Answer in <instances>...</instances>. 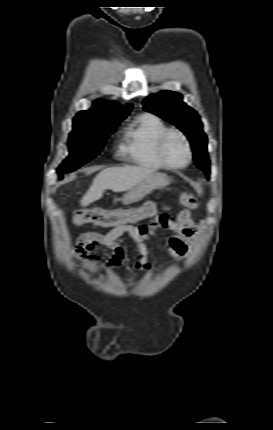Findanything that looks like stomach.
<instances>
[{
	"mask_svg": "<svg viewBox=\"0 0 273 430\" xmlns=\"http://www.w3.org/2000/svg\"><path fill=\"white\" fill-rule=\"evenodd\" d=\"M168 182L166 174L153 172L127 192L123 196V201L127 204L139 201L153 190L166 186Z\"/></svg>",
	"mask_w": 273,
	"mask_h": 430,
	"instance_id": "obj_1",
	"label": "stomach"
}]
</instances>
